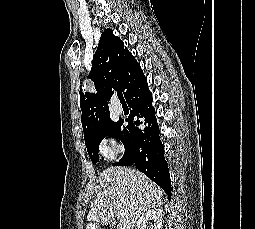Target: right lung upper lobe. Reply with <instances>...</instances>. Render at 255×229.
Listing matches in <instances>:
<instances>
[{"label":"right lung upper lobe","instance_id":"right-lung-upper-lobe-1","mask_svg":"<svg viewBox=\"0 0 255 229\" xmlns=\"http://www.w3.org/2000/svg\"><path fill=\"white\" fill-rule=\"evenodd\" d=\"M139 67L122 40L114 36L111 29H106L101 35L88 76L94 82V88L87 92L80 90L85 141L92 137L103 122L110 119L107 101L113 90H120L125 95L130 78Z\"/></svg>","mask_w":255,"mask_h":229}]
</instances>
